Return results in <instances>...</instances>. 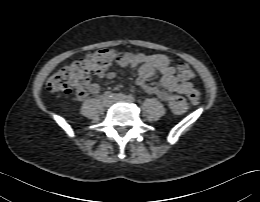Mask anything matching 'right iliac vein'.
<instances>
[{
	"instance_id": "63e3f726",
	"label": "right iliac vein",
	"mask_w": 260,
	"mask_h": 202,
	"mask_svg": "<svg viewBox=\"0 0 260 202\" xmlns=\"http://www.w3.org/2000/svg\"><path fill=\"white\" fill-rule=\"evenodd\" d=\"M113 102V98L112 97H104L102 99V104L105 106V107H108L111 105V103Z\"/></svg>"
}]
</instances>
